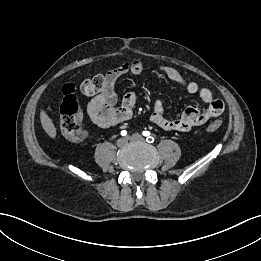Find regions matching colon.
I'll return each instance as SVG.
<instances>
[{
	"label": "colon",
	"instance_id": "colon-1",
	"mask_svg": "<svg viewBox=\"0 0 261 261\" xmlns=\"http://www.w3.org/2000/svg\"><path fill=\"white\" fill-rule=\"evenodd\" d=\"M105 83L104 75L98 74L91 79L85 80L80 89L89 93L99 92ZM77 86L68 83L64 85L62 93L63 99L60 105V128L62 134L72 141L83 140L86 131L82 126V113L80 104L76 96ZM223 121L215 120L207 126L208 132H215L221 128Z\"/></svg>",
	"mask_w": 261,
	"mask_h": 261
}]
</instances>
